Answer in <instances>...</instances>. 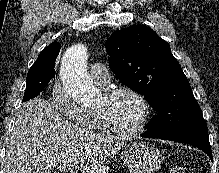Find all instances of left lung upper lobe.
Returning a JSON list of instances; mask_svg holds the SVG:
<instances>
[{"label": "left lung upper lobe", "mask_w": 219, "mask_h": 173, "mask_svg": "<svg viewBox=\"0 0 219 173\" xmlns=\"http://www.w3.org/2000/svg\"><path fill=\"white\" fill-rule=\"evenodd\" d=\"M109 66L119 80L144 95L158 112L145 132L155 136L206 130L189 81L169 44L142 25L116 31L105 43Z\"/></svg>", "instance_id": "1"}]
</instances>
